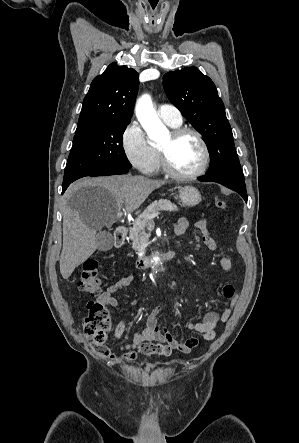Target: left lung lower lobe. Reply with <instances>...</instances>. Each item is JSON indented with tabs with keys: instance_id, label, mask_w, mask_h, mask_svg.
Masks as SVG:
<instances>
[{
	"instance_id": "1",
	"label": "left lung lower lobe",
	"mask_w": 299,
	"mask_h": 443,
	"mask_svg": "<svg viewBox=\"0 0 299 443\" xmlns=\"http://www.w3.org/2000/svg\"><path fill=\"white\" fill-rule=\"evenodd\" d=\"M199 180L220 183L239 193L242 196V198L247 202V192H246L244 177H239L235 175H206L200 177Z\"/></svg>"
}]
</instances>
